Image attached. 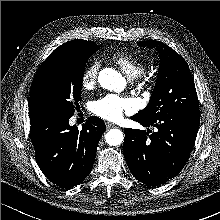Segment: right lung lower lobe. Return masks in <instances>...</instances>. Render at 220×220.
Segmentation results:
<instances>
[{
	"mask_svg": "<svg viewBox=\"0 0 220 220\" xmlns=\"http://www.w3.org/2000/svg\"><path fill=\"white\" fill-rule=\"evenodd\" d=\"M71 116L44 113L30 117L37 163L44 175L62 188L76 186L89 175L106 130L103 120L92 116L79 131L69 125Z\"/></svg>",
	"mask_w": 220,
	"mask_h": 220,
	"instance_id": "obj_1",
	"label": "right lung lower lobe"
}]
</instances>
